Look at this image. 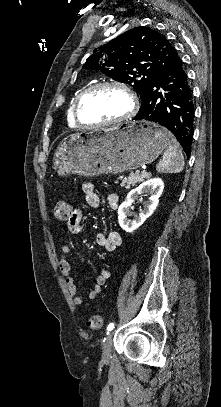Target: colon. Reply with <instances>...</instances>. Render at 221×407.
<instances>
[{
  "label": "colon",
  "instance_id": "colon-1",
  "mask_svg": "<svg viewBox=\"0 0 221 407\" xmlns=\"http://www.w3.org/2000/svg\"><path fill=\"white\" fill-rule=\"evenodd\" d=\"M74 210L68 200L59 201L54 208V217L60 222H66L72 216ZM91 330H99L103 325V318L100 314L92 315L87 323Z\"/></svg>",
  "mask_w": 221,
  "mask_h": 407
}]
</instances>
